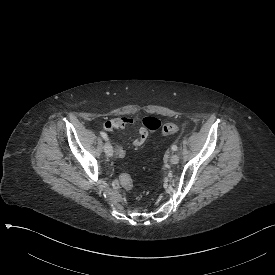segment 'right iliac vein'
<instances>
[{
  "mask_svg": "<svg viewBox=\"0 0 275 275\" xmlns=\"http://www.w3.org/2000/svg\"><path fill=\"white\" fill-rule=\"evenodd\" d=\"M104 150H105V153H106V155L108 157H112V155H113V148H112L111 143L106 142L105 145H104Z\"/></svg>",
  "mask_w": 275,
  "mask_h": 275,
  "instance_id": "1",
  "label": "right iliac vein"
}]
</instances>
